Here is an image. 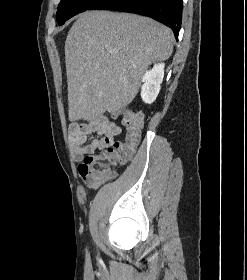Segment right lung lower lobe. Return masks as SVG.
<instances>
[{"instance_id": "1", "label": "right lung lower lobe", "mask_w": 247, "mask_h": 280, "mask_svg": "<svg viewBox=\"0 0 247 280\" xmlns=\"http://www.w3.org/2000/svg\"><path fill=\"white\" fill-rule=\"evenodd\" d=\"M90 9L136 13L169 26L178 39L182 21V0H99Z\"/></svg>"}]
</instances>
